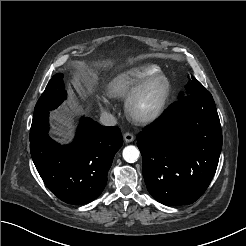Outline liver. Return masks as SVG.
Returning a JSON list of instances; mask_svg holds the SVG:
<instances>
[{
  "label": "liver",
  "mask_w": 246,
  "mask_h": 246,
  "mask_svg": "<svg viewBox=\"0 0 246 246\" xmlns=\"http://www.w3.org/2000/svg\"><path fill=\"white\" fill-rule=\"evenodd\" d=\"M99 62L100 61H98V62H92V63H90V66H92V65H94V66L95 65H100ZM107 64H111V62L108 61L105 65H107ZM59 113L62 116V118L66 119V120H71L72 119V115L70 113H68L65 109L64 110H60ZM59 128H60L61 131H64L65 130V128L63 126H61V125H59Z\"/></svg>",
  "instance_id": "1"
}]
</instances>
